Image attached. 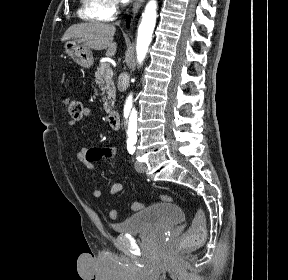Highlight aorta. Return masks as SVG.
<instances>
[{"label":"aorta","mask_w":288,"mask_h":280,"mask_svg":"<svg viewBox=\"0 0 288 280\" xmlns=\"http://www.w3.org/2000/svg\"><path fill=\"white\" fill-rule=\"evenodd\" d=\"M156 10H157L156 0H150L145 7L144 13L142 14V20L138 27L137 44H136L137 60L139 64H141L145 59L149 45L152 41V35L157 18ZM122 116H124V120H134V121H122V126H125L126 140H137L138 126H136L135 120H138V111L137 106H133L132 104L131 95L126 100L124 111H122Z\"/></svg>","instance_id":"aorta-1"}]
</instances>
